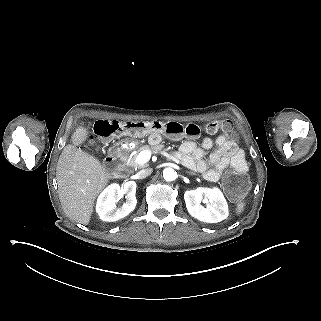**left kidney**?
<instances>
[{
  "instance_id": "obj_1",
  "label": "left kidney",
  "mask_w": 321,
  "mask_h": 321,
  "mask_svg": "<svg viewBox=\"0 0 321 321\" xmlns=\"http://www.w3.org/2000/svg\"><path fill=\"white\" fill-rule=\"evenodd\" d=\"M208 199L211 205L206 208L200 205L202 199ZM184 200L188 213L206 223H218L228 217L227 202L217 188L197 187L184 193Z\"/></svg>"
}]
</instances>
